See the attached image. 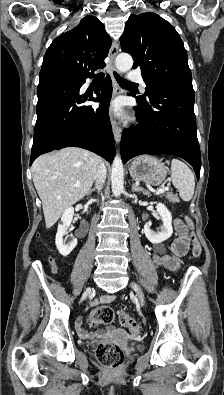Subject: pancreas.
<instances>
[{"instance_id": "obj_1", "label": "pancreas", "mask_w": 224, "mask_h": 395, "mask_svg": "<svg viewBox=\"0 0 224 395\" xmlns=\"http://www.w3.org/2000/svg\"><path fill=\"white\" fill-rule=\"evenodd\" d=\"M165 197H166L170 202H173V203H176V202L179 201L177 195H175V194H173V193H166Z\"/></svg>"}]
</instances>
